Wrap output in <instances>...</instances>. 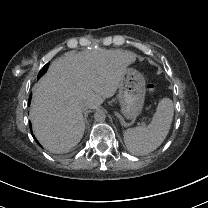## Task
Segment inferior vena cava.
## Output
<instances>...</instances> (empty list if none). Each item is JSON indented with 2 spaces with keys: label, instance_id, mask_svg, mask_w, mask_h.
<instances>
[{
  "label": "inferior vena cava",
  "instance_id": "602c4592",
  "mask_svg": "<svg viewBox=\"0 0 208 208\" xmlns=\"http://www.w3.org/2000/svg\"><path fill=\"white\" fill-rule=\"evenodd\" d=\"M80 108H81L82 111L87 110V109H88L87 103L81 102V103H80Z\"/></svg>",
  "mask_w": 208,
  "mask_h": 208
}]
</instances>
